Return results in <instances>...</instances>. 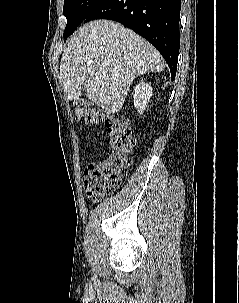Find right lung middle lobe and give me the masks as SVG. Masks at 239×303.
Listing matches in <instances>:
<instances>
[{"label":"right lung middle lobe","instance_id":"dd1d6c3e","mask_svg":"<svg viewBox=\"0 0 239 303\" xmlns=\"http://www.w3.org/2000/svg\"><path fill=\"white\" fill-rule=\"evenodd\" d=\"M106 0H64L63 14L67 19L64 38L70 36L86 17Z\"/></svg>","mask_w":239,"mask_h":303}]
</instances>
